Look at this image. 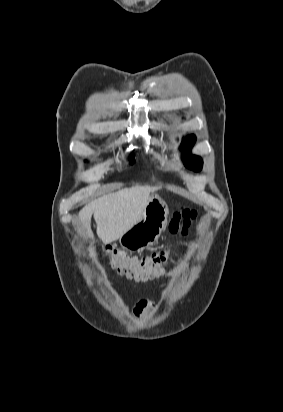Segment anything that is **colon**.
Returning a JSON list of instances; mask_svg holds the SVG:
<instances>
[{
	"label": "colon",
	"instance_id": "colon-1",
	"mask_svg": "<svg viewBox=\"0 0 283 412\" xmlns=\"http://www.w3.org/2000/svg\"><path fill=\"white\" fill-rule=\"evenodd\" d=\"M197 212L189 207H181L174 212L169 222V232L172 235H185L188 227ZM110 263L117 272L130 279L152 281L161 277L165 272V265L169 256L167 250L154 253L145 258L131 257L125 252L113 247L106 249Z\"/></svg>",
	"mask_w": 283,
	"mask_h": 412
}]
</instances>
